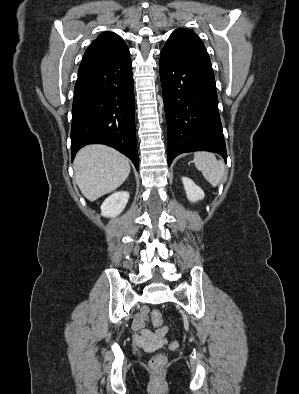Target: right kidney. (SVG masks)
<instances>
[{
    "label": "right kidney",
    "mask_w": 299,
    "mask_h": 394,
    "mask_svg": "<svg viewBox=\"0 0 299 394\" xmlns=\"http://www.w3.org/2000/svg\"><path fill=\"white\" fill-rule=\"evenodd\" d=\"M129 193L126 191L115 192L110 195L101 205V214L104 217L113 218L119 215L127 205Z\"/></svg>",
    "instance_id": "ca27d5eb"
}]
</instances>
